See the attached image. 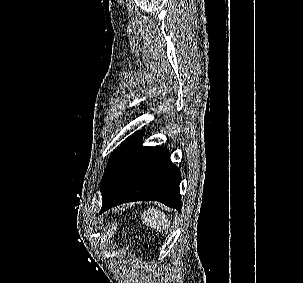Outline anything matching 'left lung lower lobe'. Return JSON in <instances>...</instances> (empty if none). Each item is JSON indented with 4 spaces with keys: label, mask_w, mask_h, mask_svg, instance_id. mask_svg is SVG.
<instances>
[{
    "label": "left lung lower lobe",
    "mask_w": 303,
    "mask_h": 283,
    "mask_svg": "<svg viewBox=\"0 0 303 283\" xmlns=\"http://www.w3.org/2000/svg\"><path fill=\"white\" fill-rule=\"evenodd\" d=\"M142 136L128 140L102 184L101 212L131 201L152 200L180 211V170L164 147H142Z\"/></svg>",
    "instance_id": "left-lung-lower-lobe-1"
}]
</instances>
